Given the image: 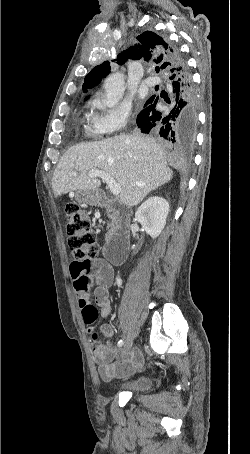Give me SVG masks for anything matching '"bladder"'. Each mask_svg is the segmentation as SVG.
I'll list each match as a JSON object with an SVG mask.
<instances>
[{
    "instance_id": "bladder-1",
    "label": "bladder",
    "mask_w": 250,
    "mask_h": 454,
    "mask_svg": "<svg viewBox=\"0 0 250 454\" xmlns=\"http://www.w3.org/2000/svg\"><path fill=\"white\" fill-rule=\"evenodd\" d=\"M153 387V377L150 374H141L117 382L114 391L118 393L141 394Z\"/></svg>"
}]
</instances>
